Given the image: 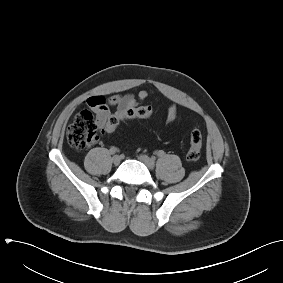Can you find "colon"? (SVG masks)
Listing matches in <instances>:
<instances>
[{"mask_svg":"<svg viewBox=\"0 0 283 283\" xmlns=\"http://www.w3.org/2000/svg\"><path fill=\"white\" fill-rule=\"evenodd\" d=\"M153 115V109L149 106H135L121 112H115L109 117L102 133L111 134L117 126L126 119L149 118ZM67 141L73 148L84 149L93 145L98 139V127L92 113L83 110L78 113L66 131ZM202 134L199 129H193L190 134V146L187 159L197 161L201 157Z\"/></svg>","mask_w":283,"mask_h":283,"instance_id":"obj_1","label":"colon"}]
</instances>
